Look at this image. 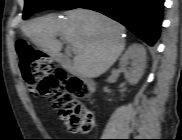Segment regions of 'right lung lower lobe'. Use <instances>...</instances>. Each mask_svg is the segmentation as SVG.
I'll use <instances>...</instances> for the list:
<instances>
[{"label": "right lung lower lobe", "instance_id": "right-lung-lower-lobe-1", "mask_svg": "<svg viewBox=\"0 0 182 140\" xmlns=\"http://www.w3.org/2000/svg\"><path fill=\"white\" fill-rule=\"evenodd\" d=\"M163 3L164 0H88L80 8L109 16L153 46L161 31Z\"/></svg>", "mask_w": 182, "mask_h": 140}]
</instances>
